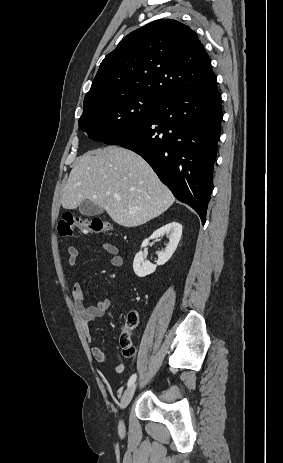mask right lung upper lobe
I'll list each match as a JSON object with an SVG mask.
<instances>
[{"label": "right lung upper lobe", "instance_id": "obj_1", "mask_svg": "<svg viewBox=\"0 0 283 463\" xmlns=\"http://www.w3.org/2000/svg\"><path fill=\"white\" fill-rule=\"evenodd\" d=\"M216 80L196 33L179 21L160 19L128 34L104 58L84 104L114 94L159 102Z\"/></svg>", "mask_w": 283, "mask_h": 463}]
</instances>
